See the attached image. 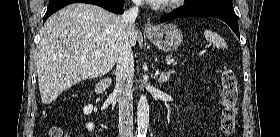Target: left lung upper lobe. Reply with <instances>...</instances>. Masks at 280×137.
<instances>
[{"mask_svg":"<svg viewBox=\"0 0 280 137\" xmlns=\"http://www.w3.org/2000/svg\"><path fill=\"white\" fill-rule=\"evenodd\" d=\"M209 3H222V4L233 6L232 0H192L190 5L209 4Z\"/></svg>","mask_w":280,"mask_h":137,"instance_id":"obj_1","label":"left lung upper lobe"}]
</instances>
